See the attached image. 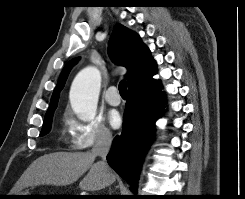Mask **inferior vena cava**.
<instances>
[{"label":"inferior vena cava","instance_id":"obj_1","mask_svg":"<svg viewBox=\"0 0 245 199\" xmlns=\"http://www.w3.org/2000/svg\"><path fill=\"white\" fill-rule=\"evenodd\" d=\"M112 144V134L107 130H101L98 132L95 144L91 150L94 156H100L102 161L99 162V165L105 172L109 171L108 164L106 162V156L110 150Z\"/></svg>","mask_w":245,"mask_h":199}]
</instances>
